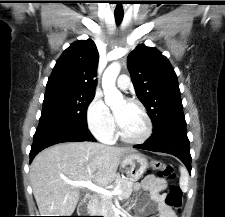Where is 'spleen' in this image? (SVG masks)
I'll use <instances>...</instances> for the list:
<instances>
[{
	"label": "spleen",
	"mask_w": 225,
	"mask_h": 217,
	"mask_svg": "<svg viewBox=\"0 0 225 217\" xmlns=\"http://www.w3.org/2000/svg\"><path fill=\"white\" fill-rule=\"evenodd\" d=\"M188 180L189 174L184 167H180V188L183 192H187L188 190Z\"/></svg>",
	"instance_id": "obj_1"
}]
</instances>
